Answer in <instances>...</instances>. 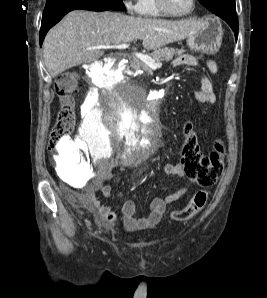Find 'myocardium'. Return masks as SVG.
I'll return each mask as SVG.
<instances>
[{
	"label": "myocardium",
	"instance_id": "obj_1",
	"mask_svg": "<svg viewBox=\"0 0 267 298\" xmlns=\"http://www.w3.org/2000/svg\"><path fill=\"white\" fill-rule=\"evenodd\" d=\"M155 3H156L158 10L161 13H163L165 16H170V17H175V18H182V17L189 16L190 14L193 13L195 6H196V0H191L190 9L185 13L177 14V13L172 12L168 8L166 0H155Z\"/></svg>",
	"mask_w": 267,
	"mask_h": 298
}]
</instances>
